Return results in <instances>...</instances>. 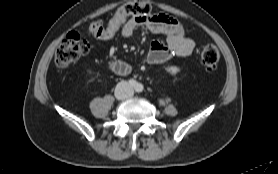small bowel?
<instances>
[{
	"label": "small bowel",
	"mask_w": 278,
	"mask_h": 174,
	"mask_svg": "<svg viewBox=\"0 0 278 174\" xmlns=\"http://www.w3.org/2000/svg\"><path fill=\"white\" fill-rule=\"evenodd\" d=\"M170 19L173 17L163 13L131 16L122 23L118 32L123 37H130L137 29L142 28L163 36V40H156L152 43L147 56L149 63L162 64L174 56L187 57L192 54L195 48L192 39L187 37L185 33L177 32L172 28Z\"/></svg>",
	"instance_id": "c3829d8e"
}]
</instances>
